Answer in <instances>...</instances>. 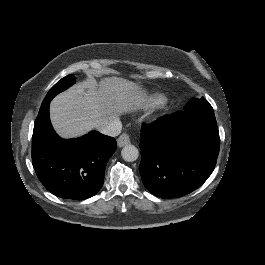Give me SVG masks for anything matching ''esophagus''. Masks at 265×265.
Masks as SVG:
<instances>
[{
    "mask_svg": "<svg viewBox=\"0 0 265 265\" xmlns=\"http://www.w3.org/2000/svg\"><path fill=\"white\" fill-rule=\"evenodd\" d=\"M129 143H130V137L128 134L124 133V134L120 135L119 138L117 139V145L119 147H123Z\"/></svg>",
    "mask_w": 265,
    "mask_h": 265,
    "instance_id": "34e87169",
    "label": "esophagus"
}]
</instances>
